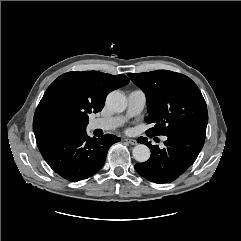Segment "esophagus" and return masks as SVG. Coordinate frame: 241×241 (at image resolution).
I'll list each match as a JSON object with an SVG mask.
<instances>
[{
    "label": "esophagus",
    "mask_w": 241,
    "mask_h": 241,
    "mask_svg": "<svg viewBox=\"0 0 241 241\" xmlns=\"http://www.w3.org/2000/svg\"><path fill=\"white\" fill-rule=\"evenodd\" d=\"M125 142H127L130 145H136L137 141L135 139H130V138H126L124 139Z\"/></svg>",
    "instance_id": "1"
}]
</instances>
